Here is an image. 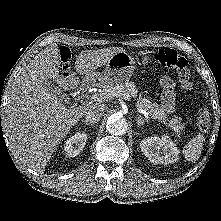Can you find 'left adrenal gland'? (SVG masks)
Segmentation results:
<instances>
[{
    "instance_id": "1",
    "label": "left adrenal gland",
    "mask_w": 221,
    "mask_h": 221,
    "mask_svg": "<svg viewBox=\"0 0 221 221\" xmlns=\"http://www.w3.org/2000/svg\"><path fill=\"white\" fill-rule=\"evenodd\" d=\"M145 120H147V119H143L141 116H138V117L136 118L137 127H138V128L141 127V126L145 123Z\"/></svg>"
}]
</instances>
